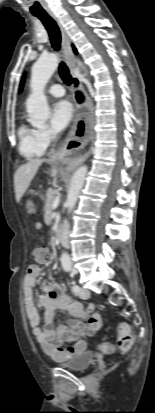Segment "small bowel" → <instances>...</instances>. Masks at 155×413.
<instances>
[{
  "label": "small bowel",
  "instance_id": "small-bowel-1",
  "mask_svg": "<svg viewBox=\"0 0 155 413\" xmlns=\"http://www.w3.org/2000/svg\"><path fill=\"white\" fill-rule=\"evenodd\" d=\"M42 269L39 265H30L24 277V288L26 293L25 313L32 328L33 335L42 348L57 362H63L86 350V342L76 341L78 335L91 336L101 326V317L93 312H86L80 302L75 301L65 294L62 288L55 283L42 285V293L36 296L32 291L40 278ZM39 308H43V322L41 327V316ZM57 310L66 311L77 320L68 321L57 328L53 327V321ZM64 344L69 346L62 348ZM71 348V351H63L59 357L49 349Z\"/></svg>",
  "mask_w": 155,
  "mask_h": 413
}]
</instances>
